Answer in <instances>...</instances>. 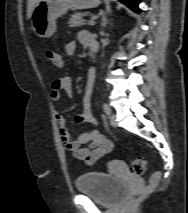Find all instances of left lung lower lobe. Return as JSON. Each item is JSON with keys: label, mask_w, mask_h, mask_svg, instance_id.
I'll return each instance as SVG.
<instances>
[{"label": "left lung lower lobe", "mask_w": 188, "mask_h": 213, "mask_svg": "<svg viewBox=\"0 0 188 213\" xmlns=\"http://www.w3.org/2000/svg\"><path fill=\"white\" fill-rule=\"evenodd\" d=\"M119 1L124 3L125 5H127L133 11H135L137 13L140 12V9L138 8V4H139L140 0H119Z\"/></svg>", "instance_id": "1"}]
</instances>
